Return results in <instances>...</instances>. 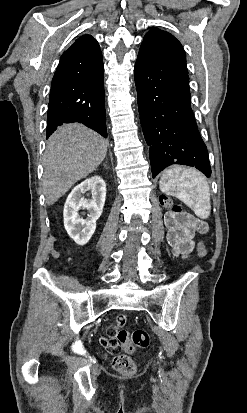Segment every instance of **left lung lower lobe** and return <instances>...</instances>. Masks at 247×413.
I'll use <instances>...</instances> for the list:
<instances>
[{"label": "left lung lower lobe", "mask_w": 247, "mask_h": 413, "mask_svg": "<svg viewBox=\"0 0 247 413\" xmlns=\"http://www.w3.org/2000/svg\"><path fill=\"white\" fill-rule=\"evenodd\" d=\"M134 77L152 177L172 164L194 166L210 177L207 148L191 109L188 71L140 49Z\"/></svg>", "instance_id": "0a47b994"}]
</instances>
